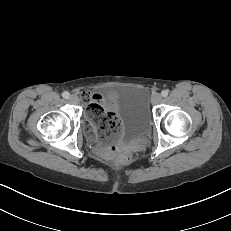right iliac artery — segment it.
I'll return each instance as SVG.
<instances>
[{
  "instance_id": "obj_1",
  "label": "right iliac artery",
  "mask_w": 231,
  "mask_h": 231,
  "mask_svg": "<svg viewBox=\"0 0 231 231\" xmlns=\"http://www.w3.org/2000/svg\"><path fill=\"white\" fill-rule=\"evenodd\" d=\"M62 97L68 99L70 97V93L68 91H65L62 93Z\"/></svg>"
}]
</instances>
